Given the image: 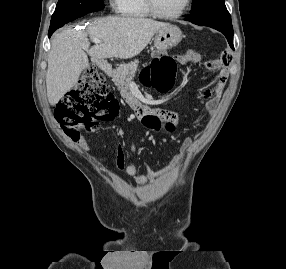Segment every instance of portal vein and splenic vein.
<instances>
[{
  "instance_id": "1",
  "label": "portal vein and splenic vein",
  "mask_w": 286,
  "mask_h": 269,
  "mask_svg": "<svg viewBox=\"0 0 286 269\" xmlns=\"http://www.w3.org/2000/svg\"><path fill=\"white\" fill-rule=\"evenodd\" d=\"M93 42H95V43H102V40H100V39H93Z\"/></svg>"
}]
</instances>
